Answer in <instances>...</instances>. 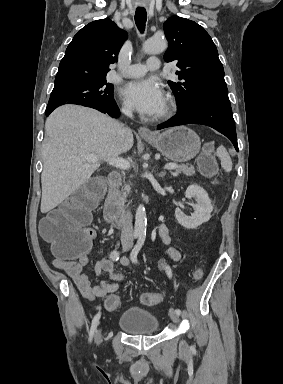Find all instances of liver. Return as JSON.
Wrapping results in <instances>:
<instances>
[{
  "label": "liver",
  "instance_id": "obj_1",
  "mask_svg": "<svg viewBox=\"0 0 283 384\" xmlns=\"http://www.w3.org/2000/svg\"><path fill=\"white\" fill-rule=\"evenodd\" d=\"M119 122L92 108L65 104L46 120L47 142L42 148L41 212L46 214L90 180L103 160L131 150L133 134L118 140ZM87 154L97 162H87Z\"/></svg>",
  "mask_w": 283,
  "mask_h": 384
}]
</instances>
